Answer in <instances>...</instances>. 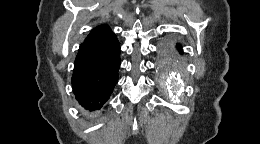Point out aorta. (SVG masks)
<instances>
[{"mask_svg":"<svg viewBox=\"0 0 260 144\" xmlns=\"http://www.w3.org/2000/svg\"><path fill=\"white\" fill-rule=\"evenodd\" d=\"M169 85L175 87L176 86V79L173 77L169 78Z\"/></svg>","mask_w":260,"mask_h":144,"instance_id":"obj_1","label":"aorta"}]
</instances>
